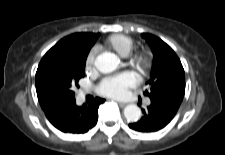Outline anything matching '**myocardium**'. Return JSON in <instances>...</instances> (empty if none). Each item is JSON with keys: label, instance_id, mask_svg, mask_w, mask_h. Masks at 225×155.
I'll return each mask as SVG.
<instances>
[{"label": "myocardium", "instance_id": "f54148a6", "mask_svg": "<svg viewBox=\"0 0 225 155\" xmlns=\"http://www.w3.org/2000/svg\"><path fill=\"white\" fill-rule=\"evenodd\" d=\"M131 63L138 72L145 74L151 66L150 54L145 50H141L132 56Z\"/></svg>", "mask_w": 225, "mask_h": 155}]
</instances>
